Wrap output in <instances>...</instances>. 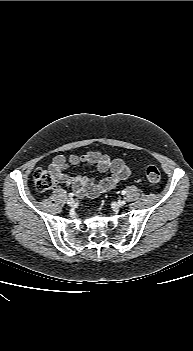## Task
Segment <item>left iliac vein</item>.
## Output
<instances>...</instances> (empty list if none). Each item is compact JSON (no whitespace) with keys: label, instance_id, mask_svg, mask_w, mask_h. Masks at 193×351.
Here are the masks:
<instances>
[{"label":"left iliac vein","instance_id":"obj_1","mask_svg":"<svg viewBox=\"0 0 193 351\" xmlns=\"http://www.w3.org/2000/svg\"><path fill=\"white\" fill-rule=\"evenodd\" d=\"M119 204H120L121 206H124V205L126 204V201H125V200H121V201H119Z\"/></svg>","mask_w":193,"mask_h":351}]
</instances>
